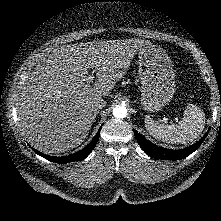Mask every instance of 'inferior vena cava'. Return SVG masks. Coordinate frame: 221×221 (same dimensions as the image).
<instances>
[{"mask_svg": "<svg viewBox=\"0 0 221 221\" xmlns=\"http://www.w3.org/2000/svg\"><path fill=\"white\" fill-rule=\"evenodd\" d=\"M106 106V101L102 98H97L92 104V110L96 111Z\"/></svg>", "mask_w": 221, "mask_h": 221, "instance_id": "obj_1", "label": "inferior vena cava"}]
</instances>
